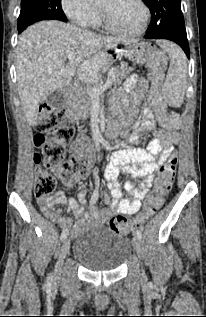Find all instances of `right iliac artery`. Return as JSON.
<instances>
[{
  "instance_id": "82829eb1",
  "label": "right iliac artery",
  "mask_w": 206,
  "mask_h": 317,
  "mask_svg": "<svg viewBox=\"0 0 206 317\" xmlns=\"http://www.w3.org/2000/svg\"><path fill=\"white\" fill-rule=\"evenodd\" d=\"M67 236H68V230L65 229L61 234V237H60L61 241L64 240ZM51 282H52V274H49L47 278V283L50 284Z\"/></svg>"
}]
</instances>
